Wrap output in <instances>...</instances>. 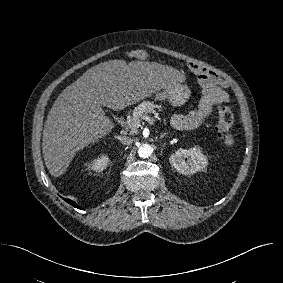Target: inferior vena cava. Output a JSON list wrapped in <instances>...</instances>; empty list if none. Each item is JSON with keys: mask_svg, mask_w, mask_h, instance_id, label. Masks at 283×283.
Instances as JSON below:
<instances>
[{"mask_svg": "<svg viewBox=\"0 0 283 283\" xmlns=\"http://www.w3.org/2000/svg\"><path fill=\"white\" fill-rule=\"evenodd\" d=\"M117 139L123 144V145H129L132 143V139L127 136H117Z\"/></svg>", "mask_w": 283, "mask_h": 283, "instance_id": "1", "label": "inferior vena cava"}]
</instances>
